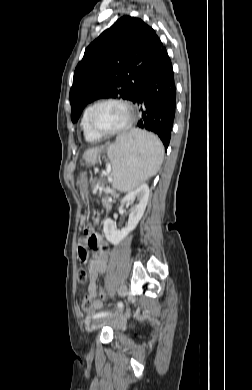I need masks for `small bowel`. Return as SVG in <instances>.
I'll return each mask as SVG.
<instances>
[{
  "mask_svg": "<svg viewBox=\"0 0 252 390\" xmlns=\"http://www.w3.org/2000/svg\"><path fill=\"white\" fill-rule=\"evenodd\" d=\"M89 248L94 249L95 254L93 259L89 262L90 278L87 290L93 302V309L98 311L102 308L104 294L101 293V298H98L97 280L100 274L106 272L109 260V250L102 237L95 233L92 228H88L85 231V235L79 239L77 251L81 261L83 260L85 262L87 260Z\"/></svg>",
  "mask_w": 252,
  "mask_h": 390,
  "instance_id": "small-bowel-1",
  "label": "small bowel"
}]
</instances>
